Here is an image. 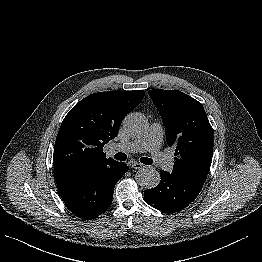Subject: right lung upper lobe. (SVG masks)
<instances>
[{
    "label": "right lung upper lobe",
    "mask_w": 262,
    "mask_h": 262,
    "mask_svg": "<svg viewBox=\"0 0 262 262\" xmlns=\"http://www.w3.org/2000/svg\"><path fill=\"white\" fill-rule=\"evenodd\" d=\"M145 92L108 91L91 94L66 115L54 146L56 178H68L118 164L107 159L103 146L118 135L123 118L142 101Z\"/></svg>",
    "instance_id": "cb5924a9"
}]
</instances>
